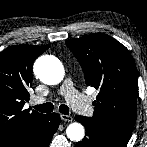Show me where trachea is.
<instances>
[{"mask_svg":"<svg viewBox=\"0 0 147 147\" xmlns=\"http://www.w3.org/2000/svg\"><path fill=\"white\" fill-rule=\"evenodd\" d=\"M34 108L42 113H50L53 111L54 105L52 103L47 102L44 104L36 105V106H34ZM59 112L64 115H68L69 114L68 106L64 105V104L60 105Z\"/></svg>","mask_w":147,"mask_h":147,"instance_id":"3493384b","label":"trachea"}]
</instances>
